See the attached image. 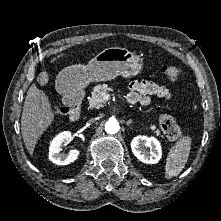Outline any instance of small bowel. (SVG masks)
I'll list each match as a JSON object with an SVG mask.
<instances>
[{"label": "small bowel", "instance_id": "c3829d8e", "mask_svg": "<svg viewBox=\"0 0 221 221\" xmlns=\"http://www.w3.org/2000/svg\"><path fill=\"white\" fill-rule=\"evenodd\" d=\"M130 88L132 92L127 97V101L130 104L148 106L151 102V96L164 100H169L171 98V93L166 87L153 81H133L130 84Z\"/></svg>", "mask_w": 221, "mask_h": 221}]
</instances>
